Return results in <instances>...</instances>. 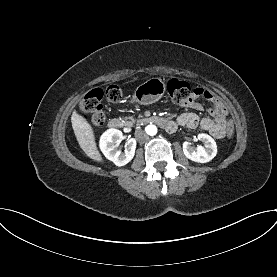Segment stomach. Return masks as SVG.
<instances>
[{
  "label": "stomach",
  "instance_id": "stomach-1",
  "mask_svg": "<svg viewBox=\"0 0 277 277\" xmlns=\"http://www.w3.org/2000/svg\"><path fill=\"white\" fill-rule=\"evenodd\" d=\"M166 85L161 78H150L137 86L133 95V101L148 105L157 102L165 93Z\"/></svg>",
  "mask_w": 277,
  "mask_h": 277
}]
</instances>
